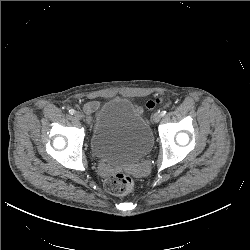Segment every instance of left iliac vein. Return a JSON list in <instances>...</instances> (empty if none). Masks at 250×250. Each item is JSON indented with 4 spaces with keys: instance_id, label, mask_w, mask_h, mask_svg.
<instances>
[{
    "instance_id": "4c4485c4",
    "label": "left iliac vein",
    "mask_w": 250,
    "mask_h": 250,
    "mask_svg": "<svg viewBox=\"0 0 250 250\" xmlns=\"http://www.w3.org/2000/svg\"><path fill=\"white\" fill-rule=\"evenodd\" d=\"M161 113H159V112H156L154 115H153V121L155 122V123H158L159 121H160V119H161Z\"/></svg>"
}]
</instances>
